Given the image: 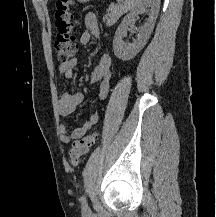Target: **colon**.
I'll return each instance as SVG.
<instances>
[{"mask_svg": "<svg viewBox=\"0 0 216 217\" xmlns=\"http://www.w3.org/2000/svg\"><path fill=\"white\" fill-rule=\"evenodd\" d=\"M73 2V0H58L56 3L55 25L58 33L54 43V52L60 63L69 62L76 52V35L70 11ZM96 140L97 135L91 133L74 141L67 157L69 164L77 166Z\"/></svg>", "mask_w": 216, "mask_h": 217, "instance_id": "colon-1", "label": "colon"}]
</instances>
